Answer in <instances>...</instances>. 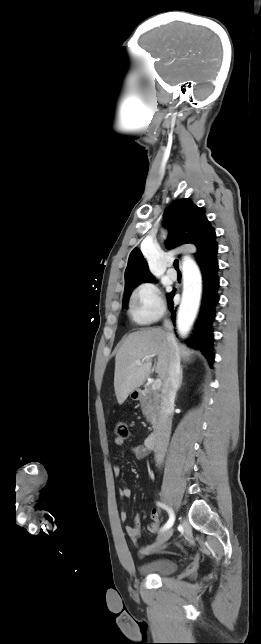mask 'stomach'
<instances>
[{"mask_svg":"<svg viewBox=\"0 0 261 644\" xmlns=\"http://www.w3.org/2000/svg\"><path fill=\"white\" fill-rule=\"evenodd\" d=\"M130 396L133 399L137 398V392H131Z\"/></svg>","mask_w":261,"mask_h":644,"instance_id":"0dacf381","label":"stomach"}]
</instances>
